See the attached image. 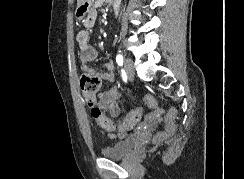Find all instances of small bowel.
<instances>
[{
    "label": "small bowel",
    "mask_w": 244,
    "mask_h": 179,
    "mask_svg": "<svg viewBox=\"0 0 244 179\" xmlns=\"http://www.w3.org/2000/svg\"><path fill=\"white\" fill-rule=\"evenodd\" d=\"M91 8L88 13V18H79L82 21L83 28L77 34V42L79 45V59L81 61V69L86 73H90L98 76L101 80L104 81H113L114 80V62L112 60H107L105 62V70H100L98 68L92 67L89 65L90 62L94 61L97 58L96 49L90 44L89 31L94 27L97 20V9L103 5V2L92 1L90 3ZM114 10H119V7L114 5ZM97 105L108 112L112 116H118L120 113V102H119V92L116 88L112 87L103 92L99 93L97 98ZM141 114H130L129 116H140ZM124 121V120H122ZM118 131L119 135H123L125 132H122V127H129L131 130L134 126H122Z\"/></svg>",
    "instance_id": "small-bowel-1"
}]
</instances>
